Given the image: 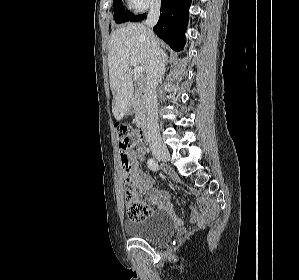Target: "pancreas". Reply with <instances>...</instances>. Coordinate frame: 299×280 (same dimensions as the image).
Here are the masks:
<instances>
[{"mask_svg": "<svg viewBox=\"0 0 299 280\" xmlns=\"http://www.w3.org/2000/svg\"><path fill=\"white\" fill-rule=\"evenodd\" d=\"M133 106L135 111V122L137 126H141L144 122L145 117V104H144V98L141 94H136L133 97Z\"/></svg>", "mask_w": 299, "mask_h": 280, "instance_id": "obj_1", "label": "pancreas"}]
</instances>
